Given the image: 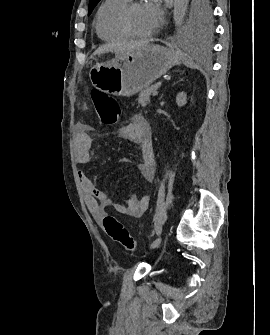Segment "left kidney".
I'll list each match as a JSON object with an SVG mask.
<instances>
[{"label":"left kidney","mask_w":270,"mask_h":335,"mask_svg":"<svg viewBox=\"0 0 270 335\" xmlns=\"http://www.w3.org/2000/svg\"><path fill=\"white\" fill-rule=\"evenodd\" d=\"M186 102H187V98H186L185 92H180V94H177V98H176L177 106H185Z\"/></svg>","instance_id":"obj_1"}]
</instances>
